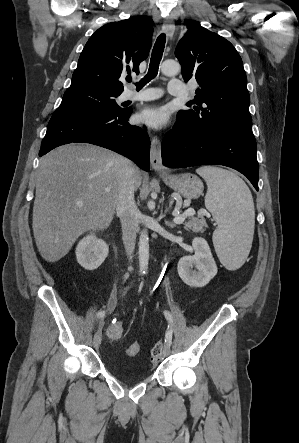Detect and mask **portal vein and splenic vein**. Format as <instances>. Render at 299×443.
<instances>
[{"instance_id":"18ae733b","label":"portal vein and splenic vein","mask_w":299,"mask_h":443,"mask_svg":"<svg viewBox=\"0 0 299 443\" xmlns=\"http://www.w3.org/2000/svg\"><path fill=\"white\" fill-rule=\"evenodd\" d=\"M78 206H82V203L81 202H77L76 203ZM205 212H200V214H204ZM195 214V211L194 210H187L183 215H178V214H176V216H175V218H174V222L176 223V224H182L184 221H185V219H186V217H188V216H193Z\"/></svg>"}]
</instances>
